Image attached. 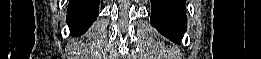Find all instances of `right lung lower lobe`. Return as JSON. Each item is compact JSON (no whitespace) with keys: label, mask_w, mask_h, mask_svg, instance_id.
Listing matches in <instances>:
<instances>
[{"label":"right lung lower lobe","mask_w":261,"mask_h":59,"mask_svg":"<svg viewBox=\"0 0 261 59\" xmlns=\"http://www.w3.org/2000/svg\"><path fill=\"white\" fill-rule=\"evenodd\" d=\"M99 0H70L67 23L72 36L83 34L98 15Z\"/></svg>","instance_id":"obj_1"}]
</instances>
